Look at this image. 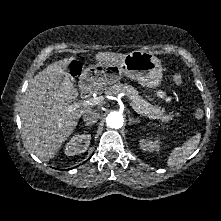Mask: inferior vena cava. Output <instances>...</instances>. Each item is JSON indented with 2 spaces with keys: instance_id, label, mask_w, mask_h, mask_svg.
I'll list each match as a JSON object with an SVG mask.
<instances>
[{
  "instance_id": "inferior-vena-cava-1",
  "label": "inferior vena cava",
  "mask_w": 221,
  "mask_h": 221,
  "mask_svg": "<svg viewBox=\"0 0 221 221\" xmlns=\"http://www.w3.org/2000/svg\"><path fill=\"white\" fill-rule=\"evenodd\" d=\"M100 118V113L97 110H88L84 115H83V120L87 125H92L98 121Z\"/></svg>"
}]
</instances>
